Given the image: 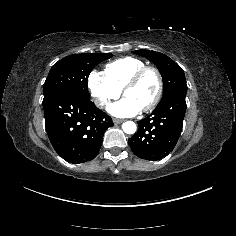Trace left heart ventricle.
Masks as SVG:
<instances>
[{"instance_id": "left-heart-ventricle-1", "label": "left heart ventricle", "mask_w": 236, "mask_h": 236, "mask_svg": "<svg viewBox=\"0 0 236 236\" xmlns=\"http://www.w3.org/2000/svg\"><path fill=\"white\" fill-rule=\"evenodd\" d=\"M157 88L156 77L153 73H146L140 81L124 93L125 98H129L141 109L146 107L153 99Z\"/></svg>"}]
</instances>
